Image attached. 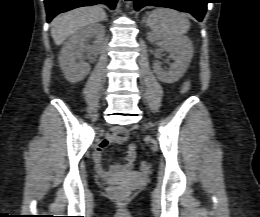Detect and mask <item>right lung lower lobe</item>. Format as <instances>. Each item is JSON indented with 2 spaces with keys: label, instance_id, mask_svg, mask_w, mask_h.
Listing matches in <instances>:
<instances>
[{
  "label": "right lung lower lobe",
  "instance_id": "98d812e1",
  "mask_svg": "<svg viewBox=\"0 0 260 217\" xmlns=\"http://www.w3.org/2000/svg\"><path fill=\"white\" fill-rule=\"evenodd\" d=\"M47 12V22H50L57 14L69 11L71 9L91 6L96 4H105L112 10L116 6L117 0H44Z\"/></svg>",
  "mask_w": 260,
  "mask_h": 217
}]
</instances>
